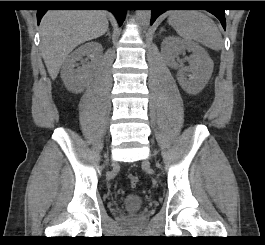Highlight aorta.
Masks as SVG:
<instances>
[{"instance_id":"aorta-1","label":"aorta","mask_w":265,"mask_h":245,"mask_svg":"<svg viewBox=\"0 0 265 245\" xmlns=\"http://www.w3.org/2000/svg\"><path fill=\"white\" fill-rule=\"evenodd\" d=\"M136 17L142 25H147L151 18L150 10H137Z\"/></svg>"}]
</instances>
